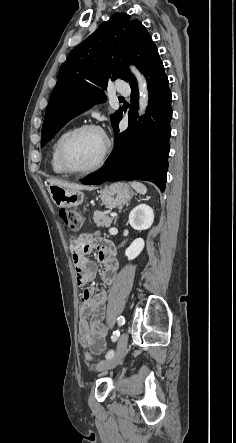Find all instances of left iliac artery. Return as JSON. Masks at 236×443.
I'll use <instances>...</instances> for the list:
<instances>
[{"label": "left iliac artery", "instance_id": "44dca946", "mask_svg": "<svg viewBox=\"0 0 236 443\" xmlns=\"http://www.w3.org/2000/svg\"><path fill=\"white\" fill-rule=\"evenodd\" d=\"M117 321H118L119 327H122L125 324L124 316L120 315L117 318ZM119 336H120V331L117 329V330H115L113 332V335L111 336L112 341L115 342L118 339ZM113 355H114V351L113 350L108 351L107 354H106V359L112 358Z\"/></svg>", "mask_w": 236, "mask_h": 443}]
</instances>
